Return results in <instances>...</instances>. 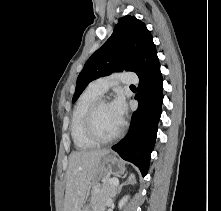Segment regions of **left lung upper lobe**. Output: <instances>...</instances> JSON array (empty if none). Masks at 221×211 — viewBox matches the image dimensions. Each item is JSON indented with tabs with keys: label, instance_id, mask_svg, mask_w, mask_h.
<instances>
[{
	"label": "left lung upper lobe",
	"instance_id": "obj_1",
	"mask_svg": "<svg viewBox=\"0 0 221 211\" xmlns=\"http://www.w3.org/2000/svg\"><path fill=\"white\" fill-rule=\"evenodd\" d=\"M156 53L152 35L142 21L134 16L120 18L111 37L88 59L80 72L72 102L94 79L124 69L140 74Z\"/></svg>",
	"mask_w": 221,
	"mask_h": 211
}]
</instances>
